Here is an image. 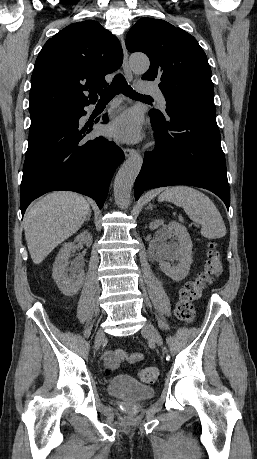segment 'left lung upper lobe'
Wrapping results in <instances>:
<instances>
[{
    "label": "left lung upper lobe",
    "instance_id": "obj_1",
    "mask_svg": "<svg viewBox=\"0 0 257 459\" xmlns=\"http://www.w3.org/2000/svg\"><path fill=\"white\" fill-rule=\"evenodd\" d=\"M126 47L129 52H143L149 57L150 68L142 79L160 82L166 109L186 102L213 101L214 87L206 54L186 31L164 20L141 18L128 32Z\"/></svg>",
    "mask_w": 257,
    "mask_h": 459
}]
</instances>
